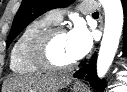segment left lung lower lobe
I'll list each match as a JSON object with an SVG mask.
<instances>
[{
  "label": "left lung lower lobe",
  "instance_id": "obj_1",
  "mask_svg": "<svg viewBox=\"0 0 127 92\" xmlns=\"http://www.w3.org/2000/svg\"><path fill=\"white\" fill-rule=\"evenodd\" d=\"M121 1H122L123 11H124V22H125L124 41L127 44V0H121ZM95 62H96V56L94 55L89 65H84L82 68H80L77 72L74 73V77L82 79L87 74L85 79L89 80L91 86L98 91H102L104 89V84L102 81H100L97 78Z\"/></svg>",
  "mask_w": 127,
  "mask_h": 92
}]
</instances>
